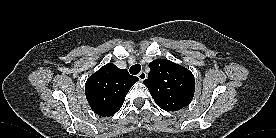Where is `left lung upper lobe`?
<instances>
[{
    "label": "left lung upper lobe",
    "mask_w": 276,
    "mask_h": 138,
    "mask_svg": "<svg viewBox=\"0 0 276 138\" xmlns=\"http://www.w3.org/2000/svg\"><path fill=\"white\" fill-rule=\"evenodd\" d=\"M149 67L151 72L143 83L160 108L178 111L190 104L195 91L191 71L165 59L153 60Z\"/></svg>",
    "instance_id": "left-lung-upper-lobe-1"
}]
</instances>
